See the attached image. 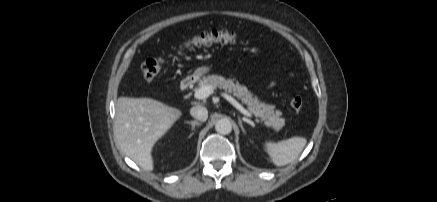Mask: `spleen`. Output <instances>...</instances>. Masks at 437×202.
Wrapping results in <instances>:
<instances>
[{"label": "spleen", "instance_id": "3e777b00", "mask_svg": "<svg viewBox=\"0 0 437 202\" xmlns=\"http://www.w3.org/2000/svg\"><path fill=\"white\" fill-rule=\"evenodd\" d=\"M307 140L304 137H291L287 140L265 142V149L276 166H284L293 162L302 152Z\"/></svg>", "mask_w": 437, "mask_h": 202}]
</instances>
